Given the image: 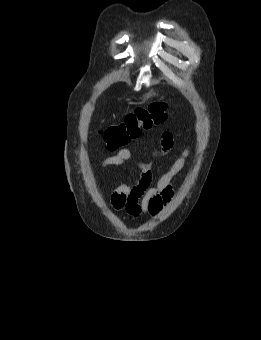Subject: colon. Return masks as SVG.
I'll use <instances>...</instances> for the list:
<instances>
[{
  "mask_svg": "<svg viewBox=\"0 0 261 340\" xmlns=\"http://www.w3.org/2000/svg\"><path fill=\"white\" fill-rule=\"evenodd\" d=\"M168 117V105L164 102H154L147 107L137 108L127 114L122 122L104 129L103 141L108 150H116L139 137L143 130L164 123Z\"/></svg>",
  "mask_w": 261,
  "mask_h": 340,
  "instance_id": "1",
  "label": "colon"
}]
</instances>
